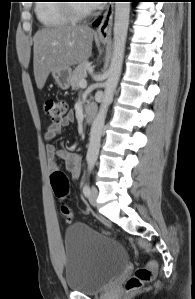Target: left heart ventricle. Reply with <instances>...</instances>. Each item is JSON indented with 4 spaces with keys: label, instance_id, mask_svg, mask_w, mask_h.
Segmentation results:
<instances>
[{
    "label": "left heart ventricle",
    "instance_id": "obj_1",
    "mask_svg": "<svg viewBox=\"0 0 195 299\" xmlns=\"http://www.w3.org/2000/svg\"><path fill=\"white\" fill-rule=\"evenodd\" d=\"M79 4V8L81 10H89L90 9V5L88 3H78Z\"/></svg>",
    "mask_w": 195,
    "mask_h": 299
}]
</instances>
